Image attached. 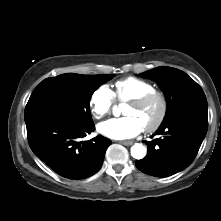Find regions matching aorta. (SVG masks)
<instances>
[{"label":"aorta","mask_w":221,"mask_h":221,"mask_svg":"<svg viewBox=\"0 0 221 221\" xmlns=\"http://www.w3.org/2000/svg\"><path fill=\"white\" fill-rule=\"evenodd\" d=\"M131 155L135 159H143L146 156V148L140 143H135L131 147Z\"/></svg>","instance_id":"obj_1"}]
</instances>
